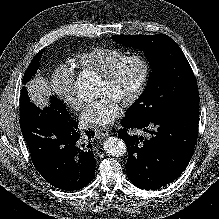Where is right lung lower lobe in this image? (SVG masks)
<instances>
[{"label":"right lung lower lobe","instance_id":"right-lung-lower-lobe-1","mask_svg":"<svg viewBox=\"0 0 219 219\" xmlns=\"http://www.w3.org/2000/svg\"><path fill=\"white\" fill-rule=\"evenodd\" d=\"M20 128L35 168L51 185L73 191L92 181L96 160L89 141L93 131L81 135L71 115L52 105L41 110L30 102L26 87L21 90Z\"/></svg>","mask_w":219,"mask_h":219}]
</instances>
